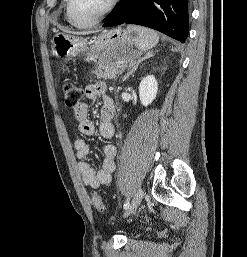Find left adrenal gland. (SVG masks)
<instances>
[{
    "mask_svg": "<svg viewBox=\"0 0 247 257\" xmlns=\"http://www.w3.org/2000/svg\"><path fill=\"white\" fill-rule=\"evenodd\" d=\"M152 53L151 52H148L144 57H142L141 59H139L137 62L133 63L131 66H132V69L124 76L123 80L122 81H126L130 75H132L136 69L138 68L139 64L144 61L145 59H148L150 57H152Z\"/></svg>",
    "mask_w": 247,
    "mask_h": 257,
    "instance_id": "1",
    "label": "left adrenal gland"
}]
</instances>
